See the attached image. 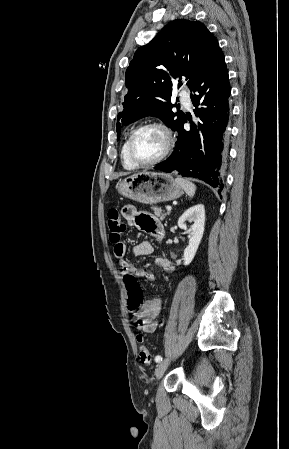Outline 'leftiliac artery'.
<instances>
[{
    "mask_svg": "<svg viewBox=\"0 0 289 449\" xmlns=\"http://www.w3.org/2000/svg\"><path fill=\"white\" fill-rule=\"evenodd\" d=\"M155 361H156V362L162 361V357H161L160 355H157V356L155 357Z\"/></svg>",
    "mask_w": 289,
    "mask_h": 449,
    "instance_id": "obj_1",
    "label": "left iliac artery"
}]
</instances>
